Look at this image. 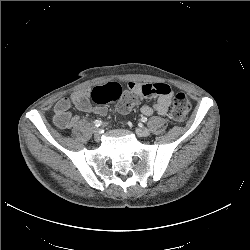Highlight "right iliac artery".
<instances>
[{
	"label": "right iliac artery",
	"instance_id": "1",
	"mask_svg": "<svg viewBox=\"0 0 250 250\" xmlns=\"http://www.w3.org/2000/svg\"><path fill=\"white\" fill-rule=\"evenodd\" d=\"M93 123H94V125L97 126V127H99V126L102 125V121H100V120H95Z\"/></svg>",
	"mask_w": 250,
	"mask_h": 250
}]
</instances>
